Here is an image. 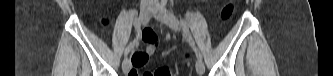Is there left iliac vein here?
Masks as SVG:
<instances>
[{
    "label": "left iliac vein",
    "instance_id": "left-iliac-vein-1",
    "mask_svg": "<svg viewBox=\"0 0 333 76\" xmlns=\"http://www.w3.org/2000/svg\"><path fill=\"white\" fill-rule=\"evenodd\" d=\"M152 14L157 20L168 25L173 31H175V32L180 31L179 21H178L177 17L170 11H168L164 8L155 7L152 11ZM195 67H196V71L199 75L204 74L205 66H204V63L202 60L197 59Z\"/></svg>",
    "mask_w": 333,
    "mask_h": 76
}]
</instances>
